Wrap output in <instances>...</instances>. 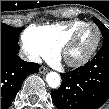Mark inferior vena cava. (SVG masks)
<instances>
[{"mask_svg":"<svg viewBox=\"0 0 109 109\" xmlns=\"http://www.w3.org/2000/svg\"><path fill=\"white\" fill-rule=\"evenodd\" d=\"M20 56H21V58H23V59H25V60H27V61H30V62H34V61H36V62H39V63H41V60L40 59H37L36 57H34V56H31V55H24V54H22V53H20Z\"/></svg>","mask_w":109,"mask_h":109,"instance_id":"1","label":"inferior vena cava"}]
</instances>
